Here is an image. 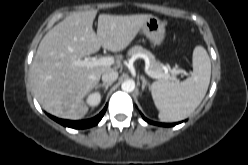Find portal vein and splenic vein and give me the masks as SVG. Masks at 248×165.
Here are the masks:
<instances>
[{"label": "portal vein and splenic vein", "instance_id": "obj_1", "mask_svg": "<svg viewBox=\"0 0 248 165\" xmlns=\"http://www.w3.org/2000/svg\"><path fill=\"white\" fill-rule=\"evenodd\" d=\"M74 65L76 66H81V67H88V68H93L97 66H111L114 64V58L111 56H105V57H100L98 59H85V60H76L73 62ZM172 72H179V73H186L185 70H172ZM145 73L149 75L152 78L160 79V78H171L172 80L177 81L176 77H170V74L168 71H165L164 73H157L154 71H151L148 68H145Z\"/></svg>", "mask_w": 248, "mask_h": 165}]
</instances>
